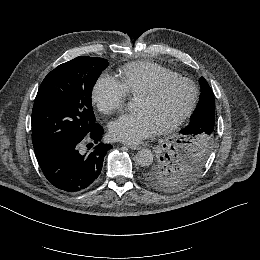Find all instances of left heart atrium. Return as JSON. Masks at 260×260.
<instances>
[{
	"mask_svg": "<svg viewBox=\"0 0 260 260\" xmlns=\"http://www.w3.org/2000/svg\"><path fill=\"white\" fill-rule=\"evenodd\" d=\"M155 130L156 125L145 109L120 115L111 122L109 128L113 138L127 143H138L151 136Z\"/></svg>",
	"mask_w": 260,
	"mask_h": 260,
	"instance_id": "obj_1",
	"label": "left heart atrium"
}]
</instances>
